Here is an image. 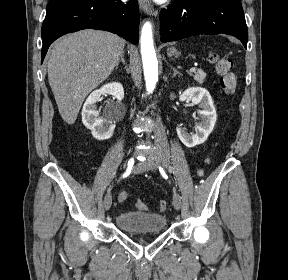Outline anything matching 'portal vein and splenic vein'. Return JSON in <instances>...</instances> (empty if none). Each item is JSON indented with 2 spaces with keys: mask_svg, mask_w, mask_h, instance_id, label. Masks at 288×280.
I'll use <instances>...</instances> for the list:
<instances>
[{
  "mask_svg": "<svg viewBox=\"0 0 288 280\" xmlns=\"http://www.w3.org/2000/svg\"><path fill=\"white\" fill-rule=\"evenodd\" d=\"M196 71V68L195 67H192L189 69V72H195Z\"/></svg>",
  "mask_w": 288,
  "mask_h": 280,
  "instance_id": "portal-vein-and-splenic-vein-1",
  "label": "portal vein and splenic vein"
}]
</instances>
